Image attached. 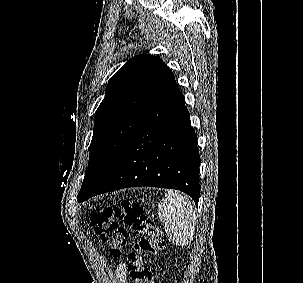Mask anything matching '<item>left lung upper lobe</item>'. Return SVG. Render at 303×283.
Segmentation results:
<instances>
[{"instance_id":"left-lung-upper-lobe-1","label":"left lung upper lobe","mask_w":303,"mask_h":283,"mask_svg":"<svg viewBox=\"0 0 303 283\" xmlns=\"http://www.w3.org/2000/svg\"><path fill=\"white\" fill-rule=\"evenodd\" d=\"M169 73L160 58L144 54L129 59L110 78L95 112L89 165L79 194L97 189L110 176Z\"/></svg>"}]
</instances>
